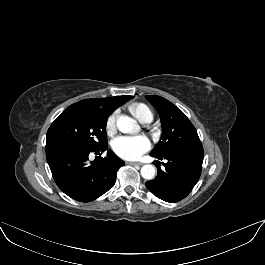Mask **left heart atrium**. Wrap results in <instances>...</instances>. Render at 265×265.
<instances>
[{"instance_id": "obj_1", "label": "left heart atrium", "mask_w": 265, "mask_h": 265, "mask_svg": "<svg viewBox=\"0 0 265 265\" xmlns=\"http://www.w3.org/2000/svg\"><path fill=\"white\" fill-rule=\"evenodd\" d=\"M113 150L124 159H137L149 149V142L143 136H119L113 141Z\"/></svg>"}]
</instances>
